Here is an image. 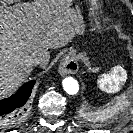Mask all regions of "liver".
Masks as SVG:
<instances>
[{"label":"liver","mask_w":133,"mask_h":133,"mask_svg":"<svg viewBox=\"0 0 133 133\" xmlns=\"http://www.w3.org/2000/svg\"><path fill=\"white\" fill-rule=\"evenodd\" d=\"M59 4L66 7L39 0L0 12V96L29 76L30 57L42 53L46 59V50L65 46L83 30L71 2Z\"/></svg>","instance_id":"1"}]
</instances>
